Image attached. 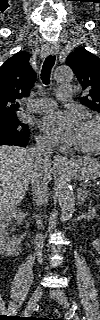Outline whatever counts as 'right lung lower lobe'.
<instances>
[{
	"mask_svg": "<svg viewBox=\"0 0 100 320\" xmlns=\"http://www.w3.org/2000/svg\"><path fill=\"white\" fill-rule=\"evenodd\" d=\"M29 136H6L5 138H0V145H16L25 147L28 144Z\"/></svg>",
	"mask_w": 100,
	"mask_h": 320,
	"instance_id": "1",
	"label": "right lung lower lobe"
}]
</instances>
